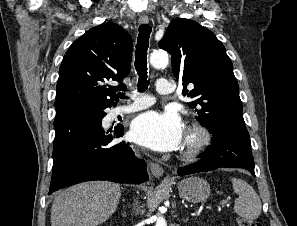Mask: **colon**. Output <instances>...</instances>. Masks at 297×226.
Listing matches in <instances>:
<instances>
[{"label": "colon", "mask_w": 297, "mask_h": 226, "mask_svg": "<svg viewBox=\"0 0 297 226\" xmlns=\"http://www.w3.org/2000/svg\"><path fill=\"white\" fill-rule=\"evenodd\" d=\"M237 222L238 226H262L260 222L247 218H239Z\"/></svg>", "instance_id": "5ec220e1"}]
</instances>
